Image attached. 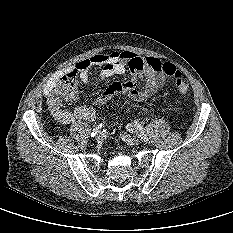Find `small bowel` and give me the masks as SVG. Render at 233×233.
I'll return each instance as SVG.
<instances>
[{"label": "small bowel", "instance_id": "1", "mask_svg": "<svg viewBox=\"0 0 233 233\" xmlns=\"http://www.w3.org/2000/svg\"><path fill=\"white\" fill-rule=\"evenodd\" d=\"M163 64L157 58L142 57L133 52L113 51L109 54H96L64 69L60 79L46 86L45 95L58 122L67 125L76 120L91 121L95 118V111L92 107L82 105L69 110L58 102L57 87L63 77L77 75L83 84L91 86L105 78L121 75L128 68L132 71L133 77L125 83L110 84L94 100V104H105L118 93L126 94L134 101H144L153 96L166 83L167 75L161 70ZM91 67L100 69V74L96 79L89 77Z\"/></svg>", "mask_w": 233, "mask_h": 233}]
</instances>
